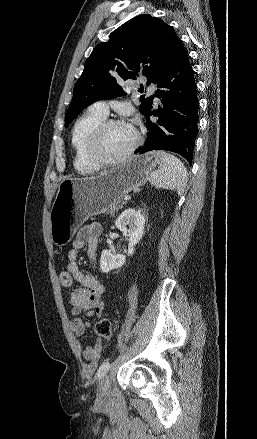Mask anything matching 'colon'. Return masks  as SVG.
<instances>
[{
    "label": "colon",
    "mask_w": 257,
    "mask_h": 439,
    "mask_svg": "<svg viewBox=\"0 0 257 439\" xmlns=\"http://www.w3.org/2000/svg\"><path fill=\"white\" fill-rule=\"evenodd\" d=\"M60 282L62 286L70 287L73 284V278L67 271H63L60 274ZM95 333L100 338L110 339L112 336L110 321L106 318L100 319L95 325Z\"/></svg>",
    "instance_id": "obj_1"
}]
</instances>
